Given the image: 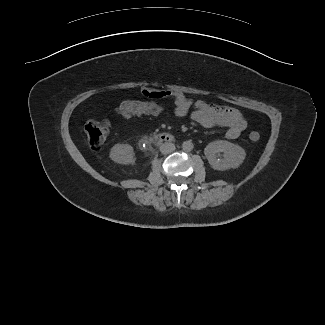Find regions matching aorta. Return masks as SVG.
Returning a JSON list of instances; mask_svg holds the SVG:
<instances>
[{"label":"aorta","instance_id":"obj_1","mask_svg":"<svg viewBox=\"0 0 325 325\" xmlns=\"http://www.w3.org/2000/svg\"><path fill=\"white\" fill-rule=\"evenodd\" d=\"M182 148L184 151L189 152L193 149V143L191 141H185L182 144Z\"/></svg>","mask_w":325,"mask_h":325}]
</instances>
